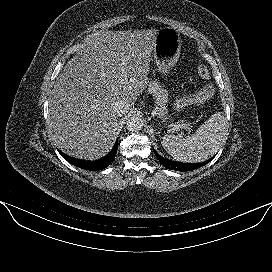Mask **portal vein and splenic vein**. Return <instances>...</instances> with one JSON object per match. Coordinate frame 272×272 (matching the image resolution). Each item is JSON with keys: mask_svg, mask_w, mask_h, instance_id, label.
Returning a JSON list of instances; mask_svg holds the SVG:
<instances>
[{"mask_svg": "<svg viewBox=\"0 0 272 272\" xmlns=\"http://www.w3.org/2000/svg\"><path fill=\"white\" fill-rule=\"evenodd\" d=\"M125 77H126V75H125ZM180 128H187V126H186L185 124H184V125L181 124V125H175V126H174V129H175V130H179Z\"/></svg>", "mask_w": 272, "mask_h": 272, "instance_id": "obj_1", "label": "portal vein and splenic vein"}]
</instances>
